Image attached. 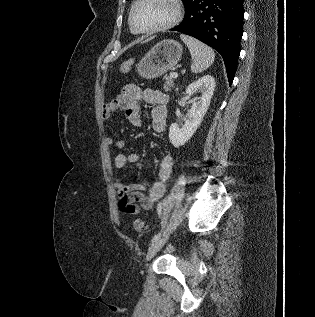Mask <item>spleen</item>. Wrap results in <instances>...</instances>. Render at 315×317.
Segmentation results:
<instances>
[{"instance_id":"3e777b00","label":"spleen","mask_w":315,"mask_h":317,"mask_svg":"<svg viewBox=\"0 0 315 317\" xmlns=\"http://www.w3.org/2000/svg\"><path fill=\"white\" fill-rule=\"evenodd\" d=\"M180 38L190 51L193 60L191 65L193 73H201L213 64L215 53L210 47L188 35L181 34Z\"/></svg>"}]
</instances>
